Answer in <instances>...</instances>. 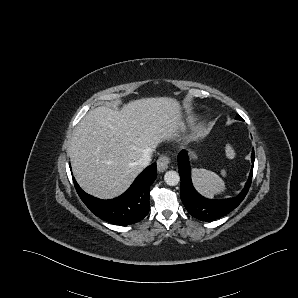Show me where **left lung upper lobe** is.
Returning <instances> with one entry per match:
<instances>
[{
    "label": "left lung upper lobe",
    "mask_w": 298,
    "mask_h": 298,
    "mask_svg": "<svg viewBox=\"0 0 298 298\" xmlns=\"http://www.w3.org/2000/svg\"><path fill=\"white\" fill-rule=\"evenodd\" d=\"M236 119H238V120H241V118H240V116H239V115H237V116H236Z\"/></svg>",
    "instance_id": "1"
}]
</instances>
